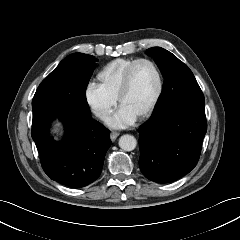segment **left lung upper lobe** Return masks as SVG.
Here are the masks:
<instances>
[{
	"mask_svg": "<svg viewBox=\"0 0 240 240\" xmlns=\"http://www.w3.org/2000/svg\"><path fill=\"white\" fill-rule=\"evenodd\" d=\"M146 54L154 58L164 76L161 97L152 118L175 104L197 103L205 105L204 95L187 65L161 47L149 48Z\"/></svg>",
	"mask_w": 240,
	"mask_h": 240,
	"instance_id": "obj_1",
	"label": "left lung upper lobe"
}]
</instances>
